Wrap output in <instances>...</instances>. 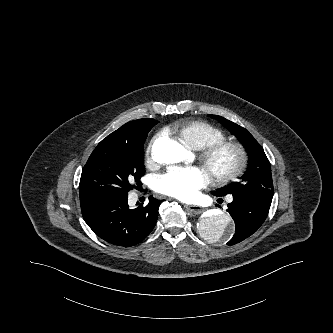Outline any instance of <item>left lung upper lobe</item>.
Segmentation results:
<instances>
[{
	"mask_svg": "<svg viewBox=\"0 0 333 333\" xmlns=\"http://www.w3.org/2000/svg\"><path fill=\"white\" fill-rule=\"evenodd\" d=\"M211 117L218 119L244 144L249 153V164L247 171L240 180L225 187L217 189L213 194L220 196L247 195L272 200L273 182L271 166L264 150L254 137L243 127L217 115Z\"/></svg>",
	"mask_w": 333,
	"mask_h": 333,
	"instance_id": "5c2ea615",
	"label": "left lung upper lobe"
}]
</instances>
